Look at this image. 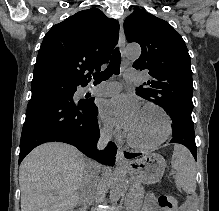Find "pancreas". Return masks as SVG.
I'll use <instances>...</instances> for the list:
<instances>
[{"label": "pancreas", "instance_id": "1", "mask_svg": "<svg viewBox=\"0 0 219 211\" xmlns=\"http://www.w3.org/2000/svg\"><path fill=\"white\" fill-rule=\"evenodd\" d=\"M133 189V192H129L128 196V211H141L142 203H143V189L141 186H130Z\"/></svg>", "mask_w": 219, "mask_h": 211}]
</instances>
